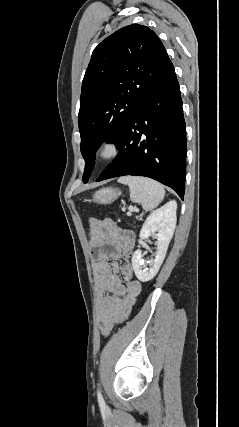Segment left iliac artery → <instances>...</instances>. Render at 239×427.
<instances>
[{"label": "left iliac artery", "instance_id": "left-iliac-artery-1", "mask_svg": "<svg viewBox=\"0 0 239 427\" xmlns=\"http://www.w3.org/2000/svg\"><path fill=\"white\" fill-rule=\"evenodd\" d=\"M97 394H98V400H99V402L100 403H104V400H103V397H102V394H101V391H100L99 388H98Z\"/></svg>", "mask_w": 239, "mask_h": 427}]
</instances>
